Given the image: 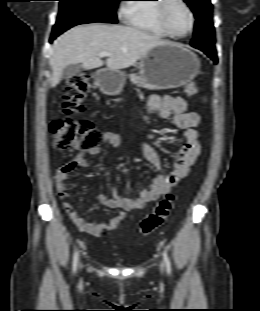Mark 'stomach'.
<instances>
[{
	"instance_id": "stomach-1",
	"label": "stomach",
	"mask_w": 260,
	"mask_h": 311,
	"mask_svg": "<svg viewBox=\"0 0 260 311\" xmlns=\"http://www.w3.org/2000/svg\"><path fill=\"white\" fill-rule=\"evenodd\" d=\"M142 84L148 89L177 88L192 81L200 72V61L192 51L177 43L153 47L140 61ZM125 75L119 70L102 69L96 83L107 95L122 92Z\"/></svg>"
}]
</instances>
